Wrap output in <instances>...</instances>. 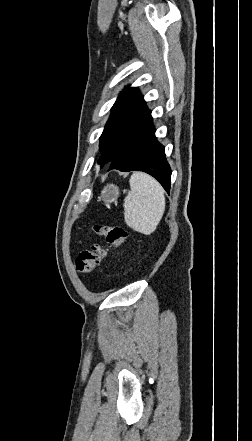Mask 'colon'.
<instances>
[{
	"label": "colon",
	"instance_id": "obj_1",
	"mask_svg": "<svg viewBox=\"0 0 252 441\" xmlns=\"http://www.w3.org/2000/svg\"><path fill=\"white\" fill-rule=\"evenodd\" d=\"M94 232L105 238L110 247H119L127 239V231L118 225H95ZM107 255V249L93 244L89 250L82 251L75 261V269L82 276H89Z\"/></svg>",
	"mask_w": 252,
	"mask_h": 441
}]
</instances>
